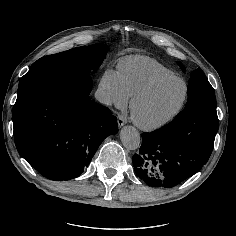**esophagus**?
Listing matches in <instances>:
<instances>
[{
  "mask_svg": "<svg viewBox=\"0 0 236 236\" xmlns=\"http://www.w3.org/2000/svg\"><path fill=\"white\" fill-rule=\"evenodd\" d=\"M117 122H118L119 128H121L122 126L125 125V123L127 122V120H126V118L123 117L122 115H119V116L117 117Z\"/></svg>",
  "mask_w": 236,
  "mask_h": 236,
  "instance_id": "34e87169",
  "label": "esophagus"
}]
</instances>
